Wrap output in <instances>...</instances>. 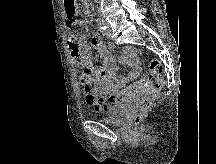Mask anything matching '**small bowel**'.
<instances>
[{
  "mask_svg": "<svg viewBox=\"0 0 216 164\" xmlns=\"http://www.w3.org/2000/svg\"><path fill=\"white\" fill-rule=\"evenodd\" d=\"M76 24L81 26L83 22L77 20ZM68 47L73 60L83 69L80 82L86 103L98 112L113 114L118 107L114 98L120 88L140 74V65L134 49L128 47L123 50L120 62L128 66L130 71L127 75L120 76L116 59L99 38L93 37L90 46L83 35L72 33ZM92 48L102 59V67L93 66Z\"/></svg>",
  "mask_w": 216,
  "mask_h": 164,
  "instance_id": "small-bowel-1",
  "label": "small bowel"
}]
</instances>
